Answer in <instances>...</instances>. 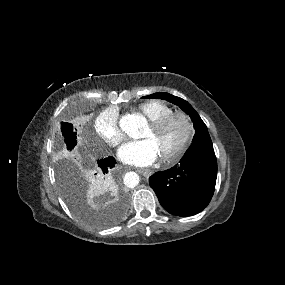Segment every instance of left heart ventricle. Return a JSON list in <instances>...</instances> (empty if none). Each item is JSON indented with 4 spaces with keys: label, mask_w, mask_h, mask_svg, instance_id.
<instances>
[{
    "label": "left heart ventricle",
    "mask_w": 285,
    "mask_h": 285,
    "mask_svg": "<svg viewBox=\"0 0 285 285\" xmlns=\"http://www.w3.org/2000/svg\"><path fill=\"white\" fill-rule=\"evenodd\" d=\"M185 128L180 120H174L160 131L150 125L143 134V138H151L156 143L160 155L174 150L184 136Z\"/></svg>",
    "instance_id": "obj_1"
}]
</instances>
